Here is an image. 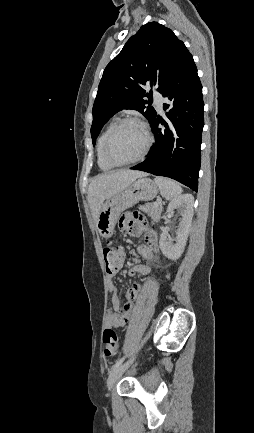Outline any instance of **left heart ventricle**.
Here are the masks:
<instances>
[{
  "label": "left heart ventricle",
  "instance_id": "left-heart-ventricle-1",
  "mask_svg": "<svg viewBox=\"0 0 254 433\" xmlns=\"http://www.w3.org/2000/svg\"><path fill=\"white\" fill-rule=\"evenodd\" d=\"M146 137L142 129L136 124H126L113 136L108 153L118 162H125L136 158L144 149Z\"/></svg>",
  "mask_w": 254,
  "mask_h": 433
}]
</instances>
